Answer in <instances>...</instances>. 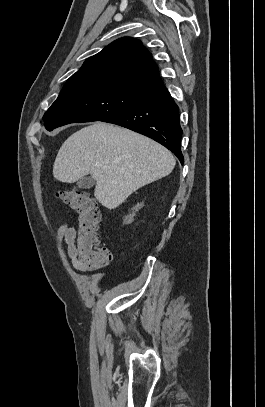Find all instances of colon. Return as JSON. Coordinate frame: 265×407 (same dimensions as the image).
I'll use <instances>...</instances> for the list:
<instances>
[{
	"label": "colon",
	"instance_id": "obj_1",
	"mask_svg": "<svg viewBox=\"0 0 265 407\" xmlns=\"http://www.w3.org/2000/svg\"><path fill=\"white\" fill-rule=\"evenodd\" d=\"M56 195L78 214V231L75 238L78 262L89 270L108 267L113 260V254L108 247L100 245L98 231L101 213L94 198L83 190L71 188L62 189Z\"/></svg>",
	"mask_w": 265,
	"mask_h": 407
}]
</instances>
